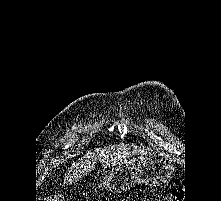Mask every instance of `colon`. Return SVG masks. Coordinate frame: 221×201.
I'll return each mask as SVG.
<instances>
[{"mask_svg": "<svg viewBox=\"0 0 221 201\" xmlns=\"http://www.w3.org/2000/svg\"><path fill=\"white\" fill-rule=\"evenodd\" d=\"M42 201H65L61 195H52ZM168 201H186L185 190L181 187L173 188Z\"/></svg>", "mask_w": 221, "mask_h": 201, "instance_id": "5ec220e1", "label": "colon"}]
</instances>
